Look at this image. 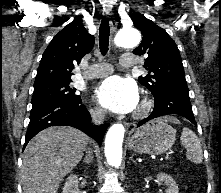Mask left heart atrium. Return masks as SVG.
<instances>
[{
	"instance_id": "1",
	"label": "left heart atrium",
	"mask_w": 221,
	"mask_h": 193,
	"mask_svg": "<svg viewBox=\"0 0 221 193\" xmlns=\"http://www.w3.org/2000/svg\"><path fill=\"white\" fill-rule=\"evenodd\" d=\"M95 97L105 109L118 114L132 112L139 102L136 84L120 76H112L103 81L96 89Z\"/></svg>"
}]
</instances>
